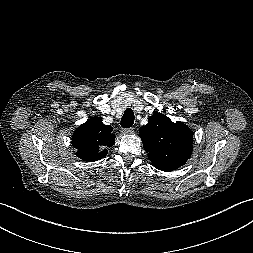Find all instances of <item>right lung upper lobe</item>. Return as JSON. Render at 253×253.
Wrapping results in <instances>:
<instances>
[{
	"label": "right lung upper lobe",
	"mask_w": 253,
	"mask_h": 253,
	"mask_svg": "<svg viewBox=\"0 0 253 253\" xmlns=\"http://www.w3.org/2000/svg\"><path fill=\"white\" fill-rule=\"evenodd\" d=\"M112 131L113 128L103 124L100 117L90 118L72 135V145L78 150L76 155L86 162H94L105 157L107 148L115 143Z\"/></svg>",
	"instance_id": "1"
}]
</instances>
